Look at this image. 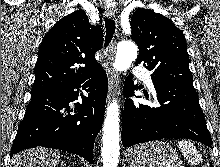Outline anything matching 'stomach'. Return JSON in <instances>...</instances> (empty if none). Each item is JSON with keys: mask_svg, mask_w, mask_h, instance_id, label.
I'll return each mask as SVG.
<instances>
[{"mask_svg": "<svg viewBox=\"0 0 220 167\" xmlns=\"http://www.w3.org/2000/svg\"><path fill=\"white\" fill-rule=\"evenodd\" d=\"M126 161L129 167H179L176 151L162 141L134 146L128 150Z\"/></svg>", "mask_w": 220, "mask_h": 167, "instance_id": "1", "label": "stomach"}]
</instances>
